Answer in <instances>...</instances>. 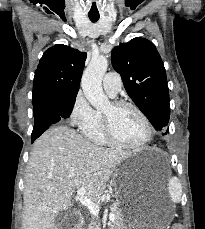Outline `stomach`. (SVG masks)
I'll return each instance as SVG.
<instances>
[{"label":"stomach","instance_id":"obj_1","mask_svg":"<svg viewBox=\"0 0 205 229\" xmlns=\"http://www.w3.org/2000/svg\"><path fill=\"white\" fill-rule=\"evenodd\" d=\"M150 152L151 149H143L131 154L113 174L123 229H165L173 218L172 206L157 203L150 207L138 195L143 162Z\"/></svg>","mask_w":205,"mask_h":229}]
</instances>
